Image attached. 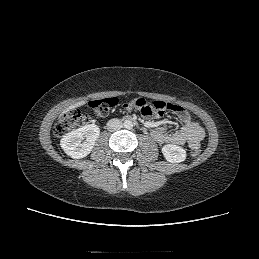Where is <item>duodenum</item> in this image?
Segmentation results:
<instances>
[{
    "label": "duodenum",
    "instance_id": "1",
    "mask_svg": "<svg viewBox=\"0 0 259 259\" xmlns=\"http://www.w3.org/2000/svg\"><path fill=\"white\" fill-rule=\"evenodd\" d=\"M126 119H127V120H130L131 118H130V117H127Z\"/></svg>",
    "mask_w": 259,
    "mask_h": 259
}]
</instances>
